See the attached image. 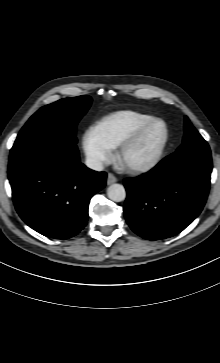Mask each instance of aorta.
<instances>
[{
    "instance_id": "aorta-1",
    "label": "aorta",
    "mask_w": 220,
    "mask_h": 363,
    "mask_svg": "<svg viewBox=\"0 0 220 363\" xmlns=\"http://www.w3.org/2000/svg\"><path fill=\"white\" fill-rule=\"evenodd\" d=\"M107 196L114 202H121L126 198V191L121 184H112L107 189Z\"/></svg>"
}]
</instances>
